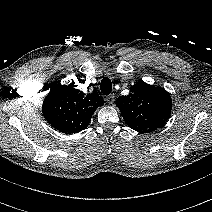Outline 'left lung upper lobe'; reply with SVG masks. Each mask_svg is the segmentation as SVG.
Returning a JSON list of instances; mask_svg holds the SVG:
<instances>
[{"instance_id": "obj_1", "label": "left lung upper lobe", "mask_w": 212, "mask_h": 212, "mask_svg": "<svg viewBox=\"0 0 212 212\" xmlns=\"http://www.w3.org/2000/svg\"><path fill=\"white\" fill-rule=\"evenodd\" d=\"M125 123L133 130L151 133L162 128L171 113V97L160 87L144 82L134 84L127 96L116 101Z\"/></svg>"}]
</instances>
